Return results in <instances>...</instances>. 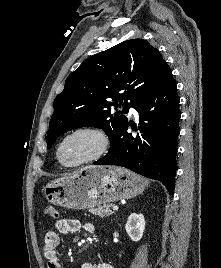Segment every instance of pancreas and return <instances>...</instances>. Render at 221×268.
Returning a JSON list of instances; mask_svg holds the SVG:
<instances>
[{
  "instance_id": "cf45deb5",
  "label": "pancreas",
  "mask_w": 221,
  "mask_h": 268,
  "mask_svg": "<svg viewBox=\"0 0 221 268\" xmlns=\"http://www.w3.org/2000/svg\"><path fill=\"white\" fill-rule=\"evenodd\" d=\"M112 204L99 205L97 208L89 209V212L93 215H98L101 218L112 215L114 212L111 211Z\"/></svg>"
}]
</instances>
